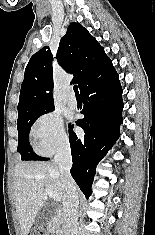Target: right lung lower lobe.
Segmentation results:
<instances>
[{
    "mask_svg": "<svg viewBox=\"0 0 155 235\" xmlns=\"http://www.w3.org/2000/svg\"><path fill=\"white\" fill-rule=\"evenodd\" d=\"M83 100V119L76 124L84 130L80 139L69 125V141L73 166L71 175L85 194L92 193L90 188L96 173V166L115 144L120 136L122 124V87L115 69L106 76L96 79L80 91ZM49 160L46 158L44 161Z\"/></svg>",
    "mask_w": 155,
    "mask_h": 235,
    "instance_id": "right-lung-lower-lobe-1",
    "label": "right lung lower lobe"
}]
</instances>
